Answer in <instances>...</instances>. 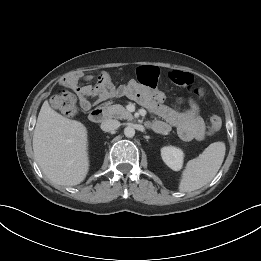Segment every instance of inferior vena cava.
I'll list each match as a JSON object with an SVG mask.
<instances>
[{
	"label": "inferior vena cava",
	"mask_w": 261,
	"mask_h": 261,
	"mask_svg": "<svg viewBox=\"0 0 261 261\" xmlns=\"http://www.w3.org/2000/svg\"><path fill=\"white\" fill-rule=\"evenodd\" d=\"M120 122L115 119H107L101 123V129L105 132H110L118 129Z\"/></svg>",
	"instance_id": "inferior-vena-cava-1"
}]
</instances>
